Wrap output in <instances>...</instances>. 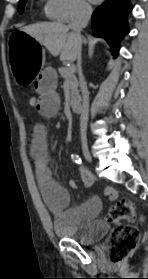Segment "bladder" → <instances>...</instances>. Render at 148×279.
<instances>
[{
    "label": "bladder",
    "mask_w": 148,
    "mask_h": 279,
    "mask_svg": "<svg viewBox=\"0 0 148 279\" xmlns=\"http://www.w3.org/2000/svg\"><path fill=\"white\" fill-rule=\"evenodd\" d=\"M53 228L59 237L83 245H91L100 241L109 230L108 224L102 220H94L84 225H74L68 223L63 215H59L53 221Z\"/></svg>",
    "instance_id": "bladder-1"
}]
</instances>
